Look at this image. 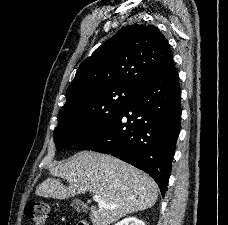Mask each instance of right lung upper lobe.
I'll return each mask as SVG.
<instances>
[{"mask_svg": "<svg viewBox=\"0 0 228 225\" xmlns=\"http://www.w3.org/2000/svg\"><path fill=\"white\" fill-rule=\"evenodd\" d=\"M172 59L168 41L157 27H123L79 66L68 87L66 104L110 85L136 89Z\"/></svg>", "mask_w": 228, "mask_h": 225, "instance_id": "right-lung-upper-lobe-1", "label": "right lung upper lobe"}]
</instances>
